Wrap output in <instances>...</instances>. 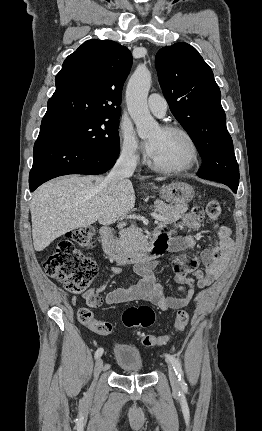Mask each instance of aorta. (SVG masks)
I'll list each match as a JSON object with an SVG mask.
<instances>
[{"mask_svg": "<svg viewBox=\"0 0 262 431\" xmlns=\"http://www.w3.org/2000/svg\"><path fill=\"white\" fill-rule=\"evenodd\" d=\"M150 86V71L143 66H139L131 76L126 89L128 112L141 138H145L158 127L147 105V96Z\"/></svg>", "mask_w": 262, "mask_h": 431, "instance_id": "762f6f07", "label": "aorta"}]
</instances>
